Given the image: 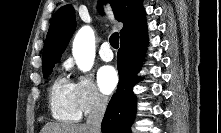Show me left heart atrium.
<instances>
[{"mask_svg":"<svg viewBox=\"0 0 221 133\" xmlns=\"http://www.w3.org/2000/svg\"><path fill=\"white\" fill-rule=\"evenodd\" d=\"M97 83L103 94L112 93L118 84V75L115 68L109 65L100 68L97 75Z\"/></svg>","mask_w":221,"mask_h":133,"instance_id":"obj_1","label":"left heart atrium"}]
</instances>
